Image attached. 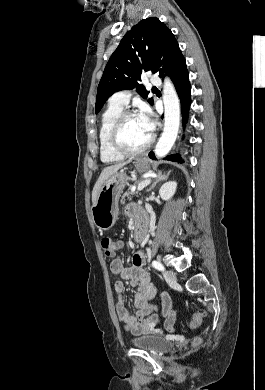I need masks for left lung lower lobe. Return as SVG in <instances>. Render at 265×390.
Returning a JSON list of instances; mask_svg holds the SVG:
<instances>
[{
  "label": "left lung lower lobe",
  "mask_w": 265,
  "mask_h": 390,
  "mask_svg": "<svg viewBox=\"0 0 265 390\" xmlns=\"http://www.w3.org/2000/svg\"><path fill=\"white\" fill-rule=\"evenodd\" d=\"M172 79L178 96L181 101V110L183 115V124L187 122L189 108L191 104V86L189 82V73L186 67V61L182 53L174 61L170 72L168 73ZM151 159H155L154 153L149 154ZM174 162H183L179 154L169 155L165 158Z\"/></svg>",
  "instance_id": "0a47b994"
}]
</instances>
